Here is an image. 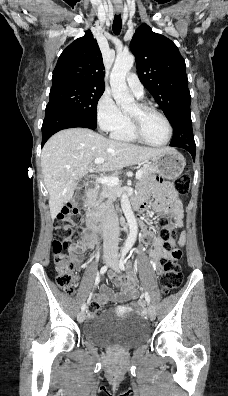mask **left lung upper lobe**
Instances as JSON below:
<instances>
[{"label":"left lung upper lobe","instance_id":"1","mask_svg":"<svg viewBox=\"0 0 228 396\" xmlns=\"http://www.w3.org/2000/svg\"><path fill=\"white\" fill-rule=\"evenodd\" d=\"M130 48L136 57L141 83L149 90L171 124L180 121L183 109H190L186 65L170 39L142 24L132 37Z\"/></svg>","mask_w":228,"mask_h":396}]
</instances>
